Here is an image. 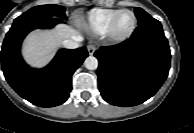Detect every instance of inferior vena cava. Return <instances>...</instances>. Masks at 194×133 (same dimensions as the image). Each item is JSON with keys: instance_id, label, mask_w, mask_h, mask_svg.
Wrapping results in <instances>:
<instances>
[{"instance_id": "1", "label": "inferior vena cava", "mask_w": 194, "mask_h": 133, "mask_svg": "<svg viewBox=\"0 0 194 133\" xmlns=\"http://www.w3.org/2000/svg\"><path fill=\"white\" fill-rule=\"evenodd\" d=\"M82 40L83 37L78 35L73 36L71 39H66L62 43L68 49H76L79 46V42H81Z\"/></svg>"}]
</instances>
